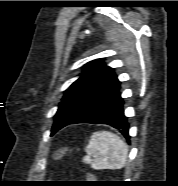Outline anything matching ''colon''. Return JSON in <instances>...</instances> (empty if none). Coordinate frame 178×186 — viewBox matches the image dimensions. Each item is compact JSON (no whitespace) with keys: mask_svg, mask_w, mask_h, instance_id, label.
Here are the masks:
<instances>
[{"mask_svg":"<svg viewBox=\"0 0 178 186\" xmlns=\"http://www.w3.org/2000/svg\"><path fill=\"white\" fill-rule=\"evenodd\" d=\"M67 152L74 154V151L68 147H57L53 152V158L58 160Z\"/></svg>","mask_w":178,"mask_h":186,"instance_id":"1","label":"colon"}]
</instances>
